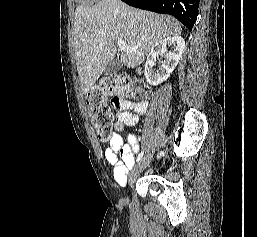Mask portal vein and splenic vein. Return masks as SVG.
<instances>
[{
    "mask_svg": "<svg viewBox=\"0 0 257 237\" xmlns=\"http://www.w3.org/2000/svg\"><path fill=\"white\" fill-rule=\"evenodd\" d=\"M117 44H118V47H119V49L120 50H130L131 48L129 47V46H127V44L125 43V41L124 40H118L117 41Z\"/></svg>",
    "mask_w": 257,
    "mask_h": 237,
    "instance_id": "18ae733b",
    "label": "portal vein and splenic vein"
}]
</instances>
